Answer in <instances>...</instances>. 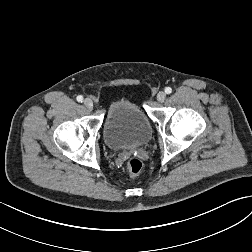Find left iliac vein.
<instances>
[{"label":"left iliac vein","mask_w":252,"mask_h":252,"mask_svg":"<svg viewBox=\"0 0 252 252\" xmlns=\"http://www.w3.org/2000/svg\"><path fill=\"white\" fill-rule=\"evenodd\" d=\"M165 99H166V94H165V92L160 91V92L157 94V100H158L159 102H164Z\"/></svg>","instance_id":"1"}]
</instances>
